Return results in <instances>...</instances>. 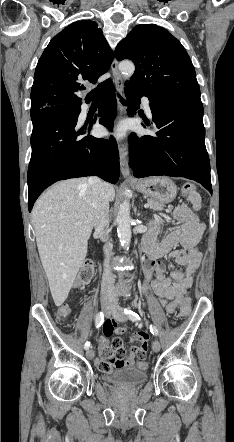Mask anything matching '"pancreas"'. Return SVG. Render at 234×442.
<instances>
[{"mask_svg": "<svg viewBox=\"0 0 234 442\" xmlns=\"http://www.w3.org/2000/svg\"><path fill=\"white\" fill-rule=\"evenodd\" d=\"M148 204H149V207L154 211H161L165 207V205L162 202L154 200V199H148Z\"/></svg>", "mask_w": 234, "mask_h": 442, "instance_id": "1", "label": "pancreas"}]
</instances>
